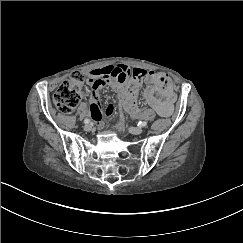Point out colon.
I'll return each mask as SVG.
<instances>
[{"label":"colon","mask_w":243,"mask_h":243,"mask_svg":"<svg viewBox=\"0 0 243 243\" xmlns=\"http://www.w3.org/2000/svg\"><path fill=\"white\" fill-rule=\"evenodd\" d=\"M84 78L85 75L82 72H74L70 80L64 81L58 87L53 96V101L59 112L63 114L71 113L83 98L81 85ZM143 78L144 73L135 70L131 78L128 81L125 80L126 85L120 92L122 108L132 116H136L140 112L137 103V94Z\"/></svg>","instance_id":"5ec220e1"}]
</instances>
